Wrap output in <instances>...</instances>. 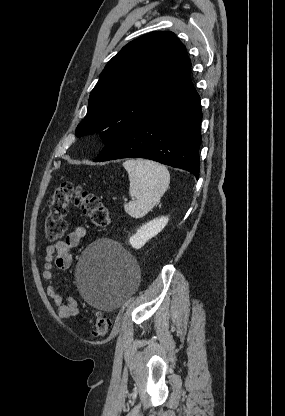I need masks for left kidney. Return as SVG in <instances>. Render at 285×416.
Listing matches in <instances>:
<instances>
[{
  "label": "left kidney",
  "mask_w": 285,
  "mask_h": 416,
  "mask_svg": "<svg viewBox=\"0 0 285 416\" xmlns=\"http://www.w3.org/2000/svg\"><path fill=\"white\" fill-rule=\"evenodd\" d=\"M168 220V216H161V218H155V220L143 224V226L137 230L136 234H133V236L129 238L132 248H135V250L143 248L148 240L157 236V234L165 228L166 224H168Z\"/></svg>",
  "instance_id": "1"
}]
</instances>
